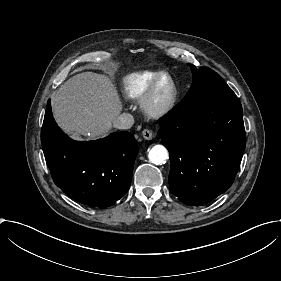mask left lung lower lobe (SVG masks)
I'll return each instance as SVG.
<instances>
[{
    "label": "left lung lower lobe",
    "mask_w": 281,
    "mask_h": 281,
    "mask_svg": "<svg viewBox=\"0 0 281 281\" xmlns=\"http://www.w3.org/2000/svg\"><path fill=\"white\" fill-rule=\"evenodd\" d=\"M159 123L170 154V190L181 202L203 205L232 185L246 144L235 94L179 104Z\"/></svg>",
    "instance_id": "0a47b994"
}]
</instances>
